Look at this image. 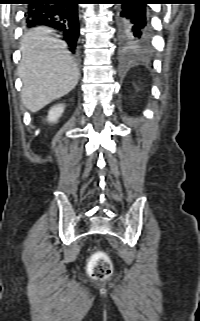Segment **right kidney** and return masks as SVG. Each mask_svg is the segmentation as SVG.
<instances>
[{
    "label": "right kidney",
    "mask_w": 200,
    "mask_h": 321,
    "mask_svg": "<svg viewBox=\"0 0 200 321\" xmlns=\"http://www.w3.org/2000/svg\"><path fill=\"white\" fill-rule=\"evenodd\" d=\"M64 111V105L58 104L53 107L48 112L47 121L50 123H56L58 119L61 117Z\"/></svg>",
    "instance_id": "obj_1"
}]
</instances>
